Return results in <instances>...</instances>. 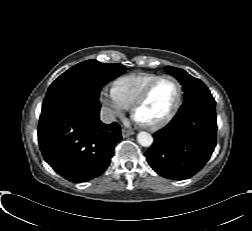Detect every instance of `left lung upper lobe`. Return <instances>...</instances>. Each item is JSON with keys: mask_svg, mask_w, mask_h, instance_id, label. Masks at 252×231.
I'll use <instances>...</instances> for the list:
<instances>
[{"mask_svg": "<svg viewBox=\"0 0 252 231\" xmlns=\"http://www.w3.org/2000/svg\"><path fill=\"white\" fill-rule=\"evenodd\" d=\"M165 70L183 85L184 102L193 98L212 96L201 80L192 77L183 69L166 66Z\"/></svg>", "mask_w": 252, "mask_h": 231, "instance_id": "left-lung-upper-lobe-1", "label": "left lung upper lobe"}]
</instances>
